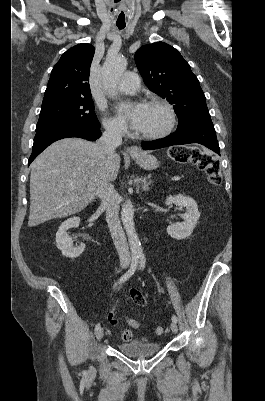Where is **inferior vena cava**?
<instances>
[{
    "label": "inferior vena cava",
    "mask_w": 265,
    "mask_h": 401,
    "mask_svg": "<svg viewBox=\"0 0 265 401\" xmlns=\"http://www.w3.org/2000/svg\"><path fill=\"white\" fill-rule=\"evenodd\" d=\"M98 142L103 146L107 154V162H110L114 156L115 148L122 142V126L120 122L118 124H105V132H103V136L99 138ZM94 194H98L102 205L106 207L109 231L120 259L129 261V247L118 217L119 194L115 190L114 184H111L109 178H106L96 186Z\"/></svg>",
    "instance_id": "602c4592"
}]
</instances>
